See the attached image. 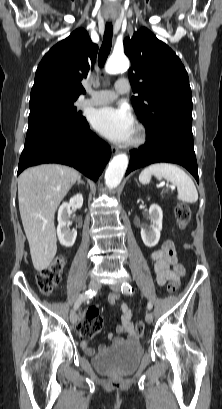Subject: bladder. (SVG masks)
Returning <instances> with one entry per match:
<instances>
[{
    "instance_id": "31cf9c89",
    "label": "bladder",
    "mask_w": 222,
    "mask_h": 409,
    "mask_svg": "<svg viewBox=\"0 0 222 409\" xmlns=\"http://www.w3.org/2000/svg\"><path fill=\"white\" fill-rule=\"evenodd\" d=\"M144 354L141 344L125 342L116 344L92 358L96 370L105 374L127 375L138 366L140 357Z\"/></svg>"
}]
</instances>
